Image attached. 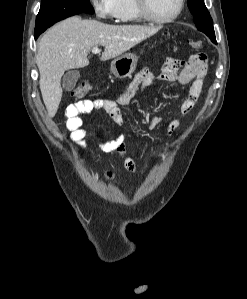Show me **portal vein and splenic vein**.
Wrapping results in <instances>:
<instances>
[{
	"instance_id": "obj_1",
	"label": "portal vein and splenic vein",
	"mask_w": 247,
	"mask_h": 299,
	"mask_svg": "<svg viewBox=\"0 0 247 299\" xmlns=\"http://www.w3.org/2000/svg\"><path fill=\"white\" fill-rule=\"evenodd\" d=\"M101 50L98 47H93L92 48V53L97 54L99 53Z\"/></svg>"
}]
</instances>
